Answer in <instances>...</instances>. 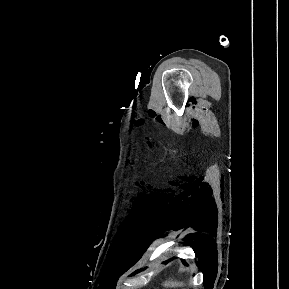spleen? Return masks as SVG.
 Returning a JSON list of instances; mask_svg holds the SVG:
<instances>
[{
  "instance_id": "3e777b00",
  "label": "spleen",
  "mask_w": 289,
  "mask_h": 289,
  "mask_svg": "<svg viewBox=\"0 0 289 289\" xmlns=\"http://www.w3.org/2000/svg\"><path fill=\"white\" fill-rule=\"evenodd\" d=\"M163 286L167 289L168 288H176V287H183L184 283L182 281L169 279L163 283Z\"/></svg>"
}]
</instances>
